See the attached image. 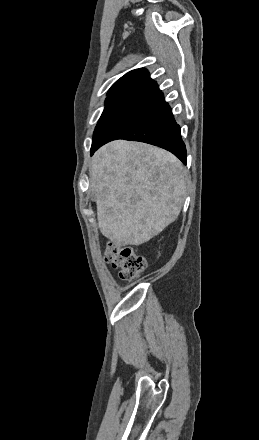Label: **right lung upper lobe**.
Listing matches in <instances>:
<instances>
[{
    "label": "right lung upper lobe",
    "mask_w": 259,
    "mask_h": 440,
    "mask_svg": "<svg viewBox=\"0 0 259 440\" xmlns=\"http://www.w3.org/2000/svg\"><path fill=\"white\" fill-rule=\"evenodd\" d=\"M157 85L144 69H135L117 80L109 89L108 95L124 93H147Z\"/></svg>",
    "instance_id": "1"
}]
</instances>
